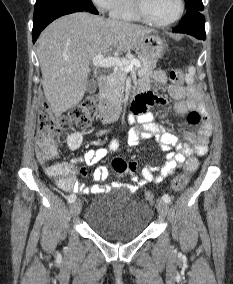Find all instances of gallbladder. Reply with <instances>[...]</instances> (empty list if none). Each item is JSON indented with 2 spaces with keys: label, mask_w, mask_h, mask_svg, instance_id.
<instances>
[{
  "label": "gallbladder",
  "mask_w": 233,
  "mask_h": 284,
  "mask_svg": "<svg viewBox=\"0 0 233 284\" xmlns=\"http://www.w3.org/2000/svg\"><path fill=\"white\" fill-rule=\"evenodd\" d=\"M97 90V80L95 76H92L87 80L86 91L88 93H94Z\"/></svg>",
  "instance_id": "bac80fb5"
}]
</instances>
